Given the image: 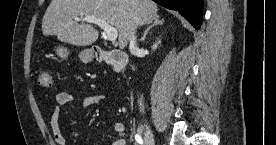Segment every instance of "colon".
Wrapping results in <instances>:
<instances>
[{
  "mask_svg": "<svg viewBox=\"0 0 276 145\" xmlns=\"http://www.w3.org/2000/svg\"><path fill=\"white\" fill-rule=\"evenodd\" d=\"M37 84L43 88H51L54 84L52 73L47 69L39 70L37 74Z\"/></svg>",
  "mask_w": 276,
  "mask_h": 145,
  "instance_id": "obj_1",
  "label": "colon"
}]
</instances>
